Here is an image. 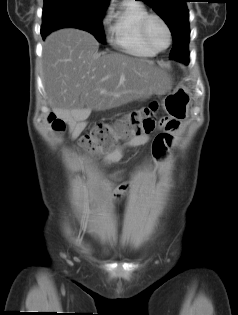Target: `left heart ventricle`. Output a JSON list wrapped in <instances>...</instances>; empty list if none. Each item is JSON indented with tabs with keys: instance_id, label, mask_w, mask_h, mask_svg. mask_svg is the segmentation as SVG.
<instances>
[{
	"instance_id": "obj_1",
	"label": "left heart ventricle",
	"mask_w": 238,
	"mask_h": 315,
	"mask_svg": "<svg viewBox=\"0 0 238 315\" xmlns=\"http://www.w3.org/2000/svg\"><path fill=\"white\" fill-rule=\"evenodd\" d=\"M148 34L150 40L153 44L159 48H163L167 45L168 37L165 28L163 25L157 21L153 20L148 28Z\"/></svg>"
}]
</instances>
